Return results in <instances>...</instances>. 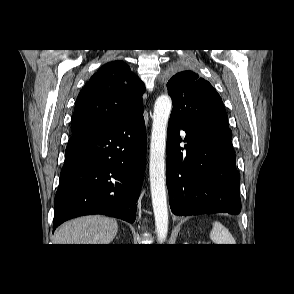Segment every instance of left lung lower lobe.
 Wrapping results in <instances>:
<instances>
[{
  "label": "left lung lower lobe",
  "instance_id": "1",
  "mask_svg": "<svg viewBox=\"0 0 294 294\" xmlns=\"http://www.w3.org/2000/svg\"><path fill=\"white\" fill-rule=\"evenodd\" d=\"M181 129L188 143L184 152L180 147ZM231 135V130L193 127L170 116L166 183L175 215L240 213V176Z\"/></svg>",
  "mask_w": 294,
  "mask_h": 294
}]
</instances>
